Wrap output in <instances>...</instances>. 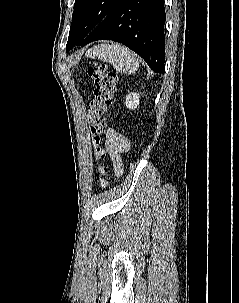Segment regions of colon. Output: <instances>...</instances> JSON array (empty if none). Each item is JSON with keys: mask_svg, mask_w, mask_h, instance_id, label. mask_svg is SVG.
Wrapping results in <instances>:
<instances>
[{"mask_svg": "<svg viewBox=\"0 0 239 303\" xmlns=\"http://www.w3.org/2000/svg\"><path fill=\"white\" fill-rule=\"evenodd\" d=\"M86 73L94 80L95 89L93 99L88 107V128L94 146V153L97 159L105 155L104 149L100 145V136L104 132L105 123L103 116L114 102V93L116 90L117 75L109 70L105 65L94 63L88 67ZM99 185L105 187L107 184V169L99 166Z\"/></svg>", "mask_w": 239, "mask_h": 303, "instance_id": "colon-1", "label": "colon"}]
</instances>
